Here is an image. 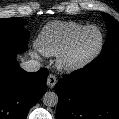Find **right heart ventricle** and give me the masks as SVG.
<instances>
[{
  "mask_svg": "<svg viewBox=\"0 0 119 119\" xmlns=\"http://www.w3.org/2000/svg\"><path fill=\"white\" fill-rule=\"evenodd\" d=\"M86 26L71 21H54L46 25L37 38L38 50L46 56H58Z\"/></svg>",
  "mask_w": 119,
  "mask_h": 119,
  "instance_id": "e07e8e85",
  "label": "right heart ventricle"
}]
</instances>
